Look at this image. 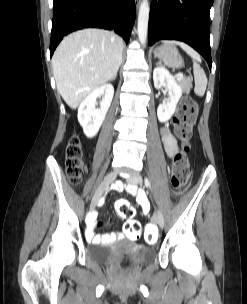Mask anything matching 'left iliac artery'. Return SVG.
Instances as JSON below:
<instances>
[{"label":"left iliac artery","instance_id":"1","mask_svg":"<svg viewBox=\"0 0 247 304\" xmlns=\"http://www.w3.org/2000/svg\"><path fill=\"white\" fill-rule=\"evenodd\" d=\"M145 184H146V186H148L151 189L150 181L146 177H145Z\"/></svg>","mask_w":247,"mask_h":304}]
</instances>
